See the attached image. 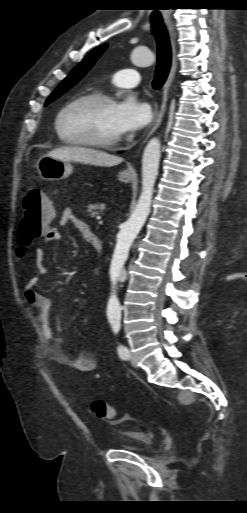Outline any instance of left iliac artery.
I'll return each instance as SVG.
<instances>
[{
    "label": "left iliac artery",
    "mask_w": 247,
    "mask_h": 513,
    "mask_svg": "<svg viewBox=\"0 0 247 513\" xmlns=\"http://www.w3.org/2000/svg\"><path fill=\"white\" fill-rule=\"evenodd\" d=\"M111 326H112V329H113L114 333L118 334V332L120 331V328H121L120 321L119 320L111 321ZM117 351H118V354H119L121 359L128 360V358H129V350L127 349L126 346H124L122 344H119L118 348H117Z\"/></svg>",
    "instance_id": "left-iliac-artery-1"
}]
</instances>
